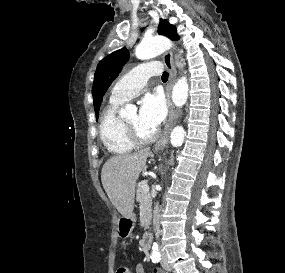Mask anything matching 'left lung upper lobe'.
Here are the masks:
<instances>
[{"label": "left lung upper lobe", "instance_id": "1", "mask_svg": "<svg viewBox=\"0 0 285 273\" xmlns=\"http://www.w3.org/2000/svg\"><path fill=\"white\" fill-rule=\"evenodd\" d=\"M158 34L165 35L172 40L179 39L175 26L171 25L168 21L160 22ZM128 59L129 51L126 48H121L112 52L98 64L92 88L96 118L99 115V107L104 93Z\"/></svg>", "mask_w": 285, "mask_h": 273}]
</instances>
